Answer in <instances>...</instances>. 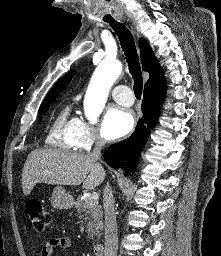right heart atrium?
Instances as JSON below:
<instances>
[{
  "mask_svg": "<svg viewBox=\"0 0 221 256\" xmlns=\"http://www.w3.org/2000/svg\"><path fill=\"white\" fill-rule=\"evenodd\" d=\"M72 133L75 147L81 150L88 151L104 143L97 128L83 118H75Z\"/></svg>",
  "mask_w": 221,
  "mask_h": 256,
  "instance_id": "obj_1",
  "label": "right heart atrium"
}]
</instances>
